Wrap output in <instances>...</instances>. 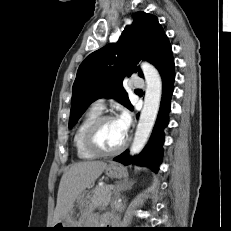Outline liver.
<instances>
[{"mask_svg": "<svg viewBox=\"0 0 231 231\" xmlns=\"http://www.w3.org/2000/svg\"><path fill=\"white\" fill-rule=\"evenodd\" d=\"M107 167L102 161H82L64 172L58 189L53 226L71 216L76 200L90 188Z\"/></svg>", "mask_w": 231, "mask_h": 231, "instance_id": "obj_1", "label": "liver"}]
</instances>
